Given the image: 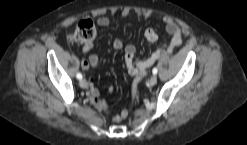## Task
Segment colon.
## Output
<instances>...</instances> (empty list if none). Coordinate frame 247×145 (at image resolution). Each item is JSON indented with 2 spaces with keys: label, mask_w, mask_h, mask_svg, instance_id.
I'll return each mask as SVG.
<instances>
[{
  "label": "colon",
  "mask_w": 247,
  "mask_h": 145,
  "mask_svg": "<svg viewBox=\"0 0 247 145\" xmlns=\"http://www.w3.org/2000/svg\"><path fill=\"white\" fill-rule=\"evenodd\" d=\"M96 36V27L92 20L84 19L80 21L75 30L70 35V40L76 43L88 44L91 43ZM138 82L134 81L132 93L137 95Z\"/></svg>",
  "instance_id": "5ec220e1"
}]
</instances>
